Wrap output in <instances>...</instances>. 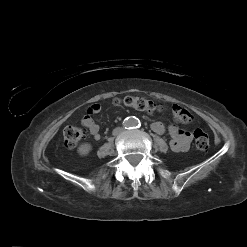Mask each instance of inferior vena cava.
Listing matches in <instances>:
<instances>
[{"label":"inferior vena cava","instance_id":"obj_1","mask_svg":"<svg viewBox=\"0 0 247 247\" xmlns=\"http://www.w3.org/2000/svg\"><path fill=\"white\" fill-rule=\"evenodd\" d=\"M121 130L120 128H116L113 130V134L116 135L118 133V131Z\"/></svg>","mask_w":247,"mask_h":247}]
</instances>
